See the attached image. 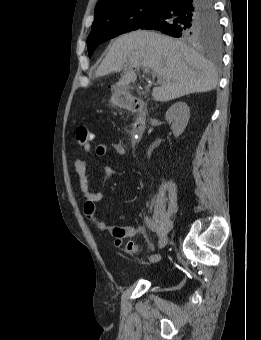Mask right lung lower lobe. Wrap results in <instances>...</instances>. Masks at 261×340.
Listing matches in <instances>:
<instances>
[{"label": "right lung lower lobe", "instance_id": "obj_1", "mask_svg": "<svg viewBox=\"0 0 261 340\" xmlns=\"http://www.w3.org/2000/svg\"><path fill=\"white\" fill-rule=\"evenodd\" d=\"M213 12V0H162L156 14L138 29H153L179 37L188 18Z\"/></svg>", "mask_w": 261, "mask_h": 340}]
</instances>
